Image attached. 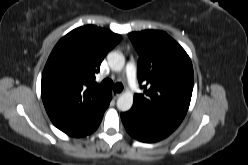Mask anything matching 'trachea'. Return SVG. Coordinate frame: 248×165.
Returning a JSON list of instances; mask_svg holds the SVG:
<instances>
[{
	"instance_id": "1",
	"label": "trachea",
	"mask_w": 248,
	"mask_h": 165,
	"mask_svg": "<svg viewBox=\"0 0 248 165\" xmlns=\"http://www.w3.org/2000/svg\"><path fill=\"white\" fill-rule=\"evenodd\" d=\"M102 87L106 89H113L115 92L120 93L123 90V85L121 83L113 84L111 79H105L101 83Z\"/></svg>"
}]
</instances>
